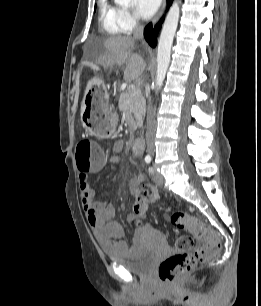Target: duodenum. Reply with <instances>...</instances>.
<instances>
[{
  "label": "duodenum",
  "instance_id": "410a0bca",
  "mask_svg": "<svg viewBox=\"0 0 261 306\" xmlns=\"http://www.w3.org/2000/svg\"><path fill=\"white\" fill-rule=\"evenodd\" d=\"M132 148L135 153H141L144 148V141L142 138H137L132 142Z\"/></svg>",
  "mask_w": 261,
  "mask_h": 306
}]
</instances>
